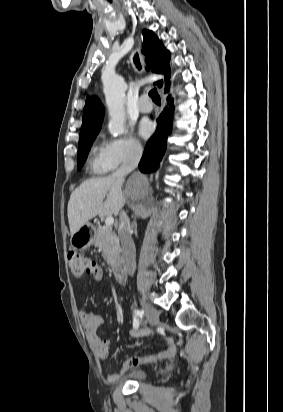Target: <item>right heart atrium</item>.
Returning a JSON list of instances; mask_svg holds the SVG:
<instances>
[{
    "label": "right heart atrium",
    "mask_w": 283,
    "mask_h": 412,
    "mask_svg": "<svg viewBox=\"0 0 283 412\" xmlns=\"http://www.w3.org/2000/svg\"><path fill=\"white\" fill-rule=\"evenodd\" d=\"M143 147L132 135L108 139L103 146V158L110 170L121 164L132 162L140 157Z\"/></svg>",
    "instance_id": "obj_1"
}]
</instances>
